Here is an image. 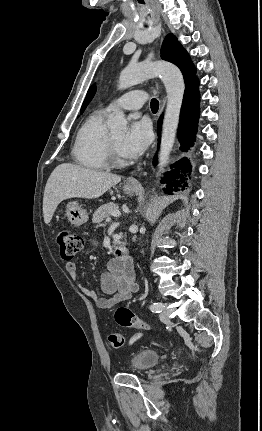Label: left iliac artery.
I'll return each mask as SVG.
<instances>
[{
  "instance_id": "left-iliac-artery-1",
  "label": "left iliac artery",
  "mask_w": 262,
  "mask_h": 431,
  "mask_svg": "<svg viewBox=\"0 0 262 431\" xmlns=\"http://www.w3.org/2000/svg\"><path fill=\"white\" fill-rule=\"evenodd\" d=\"M150 309H151V311H152V312L159 313V312H161V311H162V309H163V305H162V303H160V302H154V303L150 306Z\"/></svg>"
}]
</instances>
